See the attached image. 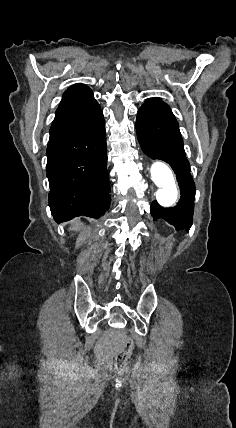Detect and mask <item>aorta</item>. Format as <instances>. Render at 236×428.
Segmentation results:
<instances>
[{"label":"aorta","mask_w":236,"mask_h":428,"mask_svg":"<svg viewBox=\"0 0 236 428\" xmlns=\"http://www.w3.org/2000/svg\"><path fill=\"white\" fill-rule=\"evenodd\" d=\"M151 178L158 187L156 200L164 208L171 207L177 200L178 190L171 169L161 161L151 165Z\"/></svg>","instance_id":"1"}]
</instances>
